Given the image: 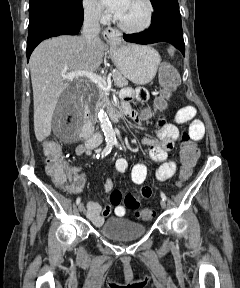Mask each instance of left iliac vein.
Instances as JSON below:
<instances>
[{
    "label": "left iliac vein",
    "mask_w": 240,
    "mask_h": 288,
    "mask_svg": "<svg viewBox=\"0 0 240 288\" xmlns=\"http://www.w3.org/2000/svg\"><path fill=\"white\" fill-rule=\"evenodd\" d=\"M160 205L163 209L166 208V202L163 199L160 201Z\"/></svg>",
    "instance_id": "4c4485c4"
}]
</instances>
